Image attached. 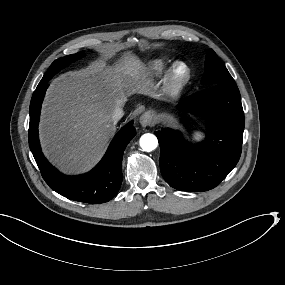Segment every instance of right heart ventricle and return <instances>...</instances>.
Masks as SVG:
<instances>
[{
	"instance_id": "e07e8e85",
	"label": "right heart ventricle",
	"mask_w": 285,
	"mask_h": 285,
	"mask_svg": "<svg viewBox=\"0 0 285 285\" xmlns=\"http://www.w3.org/2000/svg\"><path fill=\"white\" fill-rule=\"evenodd\" d=\"M170 73V67L163 59H153L141 65L138 79L143 82L164 80Z\"/></svg>"
}]
</instances>
